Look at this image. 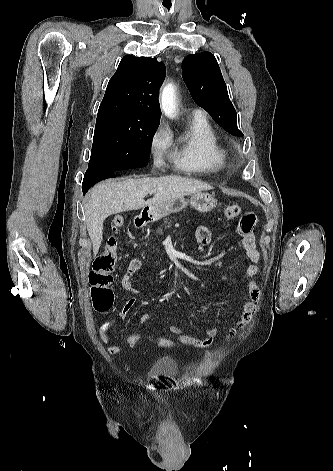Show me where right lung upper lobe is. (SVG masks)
<instances>
[{
	"mask_svg": "<svg viewBox=\"0 0 333 471\" xmlns=\"http://www.w3.org/2000/svg\"><path fill=\"white\" fill-rule=\"evenodd\" d=\"M164 78L165 65L156 58L124 56L107 85L97 118L159 121L158 94Z\"/></svg>",
	"mask_w": 333,
	"mask_h": 471,
	"instance_id": "right-lung-upper-lobe-1",
	"label": "right lung upper lobe"
}]
</instances>
